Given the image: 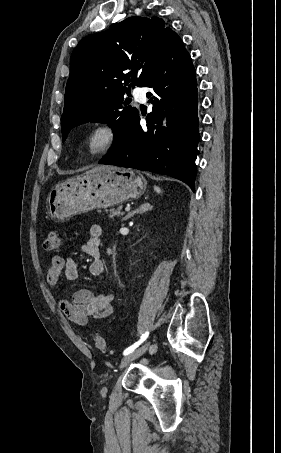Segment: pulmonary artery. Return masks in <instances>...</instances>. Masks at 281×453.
<instances>
[{
	"label": "pulmonary artery",
	"mask_w": 281,
	"mask_h": 453,
	"mask_svg": "<svg viewBox=\"0 0 281 453\" xmlns=\"http://www.w3.org/2000/svg\"><path fill=\"white\" fill-rule=\"evenodd\" d=\"M146 90L144 89H136L132 92L135 100L139 101V102H145L146 100Z\"/></svg>",
	"instance_id": "pulmonary-artery-1"
}]
</instances>
